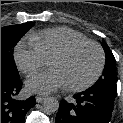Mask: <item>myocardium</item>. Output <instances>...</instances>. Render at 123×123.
Returning <instances> with one entry per match:
<instances>
[{"mask_svg":"<svg viewBox=\"0 0 123 123\" xmlns=\"http://www.w3.org/2000/svg\"><path fill=\"white\" fill-rule=\"evenodd\" d=\"M85 46H92L95 47L99 53V65L97 70L95 71L94 75L86 82L82 83V84H78V85H66V88L69 91H73V92H79V91H83L88 89L89 87H91L92 85H94L97 80L99 79V77L101 76L104 67H105V62H106V56H105V52L104 49L102 48V46L95 42V41H91V40H86V41H81V42H76L73 43L71 45H69L68 47L62 49L61 51L55 53L52 58H66L68 56H70L71 54H73L76 50L85 47Z\"/></svg>","mask_w":123,"mask_h":123,"instance_id":"1","label":"myocardium"}]
</instances>
